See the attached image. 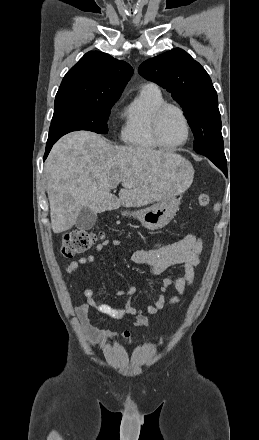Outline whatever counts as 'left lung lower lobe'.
<instances>
[{
	"label": "left lung lower lobe",
	"mask_w": 259,
	"mask_h": 440,
	"mask_svg": "<svg viewBox=\"0 0 259 440\" xmlns=\"http://www.w3.org/2000/svg\"><path fill=\"white\" fill-rule=\"evenodd\" d=\"M218 168H220L225 175H227V161L225 156L222 157H212L207 156Z\"/></svg>",
	"instance_id": "left-lung-lower-lobe-1"
}]
</instances>
